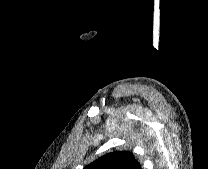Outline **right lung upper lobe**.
<instances>
[{"label": "right lung upper lobe", "mask_w": 208, "mask_h": 169, "mask_svg": "<svg viewBox=\"0 0 208 169\" xmlns=\"http://www.w3.org/2000/svg\"><path fill=\"white\" fill-rule=\"evenodd\" d=\"M84 169H142L133 154L128 151H115L101 156Z\"/></svg>", "instance_id": "obj_1"}]
</instances>
